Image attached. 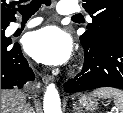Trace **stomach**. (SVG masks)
Segmentation results:
<instances>
[{
  "mask_svg": "<svg viewBox=\"0 0 123 113\" xmlns=\"http://www.w3.org/2000/svg\"><path fill=\"white\" fill-rule=\"evenodd\" d=\"M79 104L82 108L88 110V111H94L97 107V102L93 98V96H80L79 97Z\"/></svg>",
  "mask_w": 123,
  "mask_h": 113,
  "instance_id": "0dacf381",
  "label": "stomach"
}]
</instances>
